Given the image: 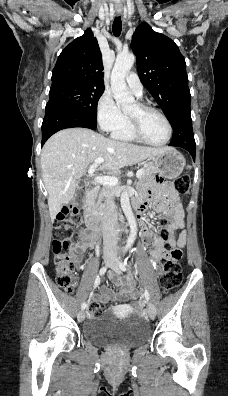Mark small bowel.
Masks as SVG:
<instances>
[{
  "label": "small bowel",
  "mask_w": 228,
  "mask_h": 396,
  "mask_svg": "<svg viewBox=\"0 0 228 396\" xmlns=\"http://www.w3.org/2000/svg\"><path fill=\"white\" fill-rule=\"evenodd\" d=\"M150 193L155 196L157 207L161 210L171 208L173 215V221L169 228L172 230L182 229L184 226V212L181 205L180 197L178 193L168 183L163 182L161 178H155L152 185L147 188ZM136 204L140 207V216L144 220V212L146 211L148 200L147 198L137 199ZM144 241L150 242L153 240L154 248L151 251V258L153 264L159 269V261L165 255L164 241L161 238L155 237L153 232L149 229L144 231ZM97 242V235L90 229L85 230L82 233L81 239L72 244L70 252L72 253L73 261L75 264L81 262V254L87 249L93 248ZM175 244L178 247H183L185 244V233L182 231ZM109 279L112 283L120 288L119 293H113L108 287L102 286L100 293L96 296V299L101 304H107L111 301L126 302L134 300L138 296V292L134 287L133 277H127L122 279L114 274H109ZM144 301H139V306L143 307Z\"/></svg>",
  "instance_id": "1"
}]
</instances>
